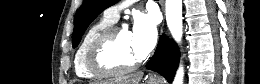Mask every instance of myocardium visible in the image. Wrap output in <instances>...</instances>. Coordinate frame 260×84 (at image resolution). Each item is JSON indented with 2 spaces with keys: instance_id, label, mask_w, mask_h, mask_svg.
Listing matches in <instances>:
<instances>
[{
  "instance_id": "f54148a6",
  "label": "myocardium",
  "mask_w": 260,
  "mask_h": 84,
  "mask_svg": "<svg viewBox=\"0 0 260 84\" xmlns=\"http://www.w3.org/2000/svg\"><path fill=\"white\" fill-rule=\"evenodd\" d=\"M120 30V27L111 25L94 39L88 61L89 69L94 74L103 77L119 76L136 70L143 62V57L130 65H120L113 60L114 42Z\"/></svg>"
}]
</instances>
